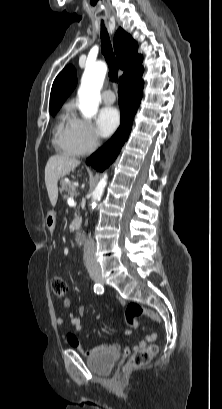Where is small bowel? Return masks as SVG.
<instances>
[{"label":"small bowel","mask_w":222,"mask_h":409,"mask_svg":"<svg viewBox=\"0 0 222 409\" xmlns=\"http://www.w3.org/2000/svg\"><path fill=\"white\" fill-rule=\"evenodd\" d=\"M63 304H64L65 309L69 310L70 305H71L70 299L66 298L64 300ZM79 313H80V315H83V313H84V308L83 307L79 308ZM69 319H70L71 325L77 331H80L82 329V320H81V318L79 316L75 315L73 312H70L69 313ZM55 322L59 327H62L64 325V320L60 316L56 317ZM125 333L127 334L128 331H125ZM63 336H64L65 341L67 342V344L70 347H72L73 349H75L76 351L81 353L82 355L89 356V357L97 355V354L105 352V351H110V350L118 351V350L122 349V352L124 354H126V355L131 352V347L130 346L127 345V346H124V347H120L117 344H106V345H101V346H98V347H95V348H92V349H86L80 344V342L72 334L64 332ZM156 338H157V334L155 332L146 335L145 338L143 340H141L138 343L137 346H135V349L137 350V349H140V348L144 347L148 342L155 341Z\"/></svg>","instance_id":"small-bowel-1"}]
</instances>
